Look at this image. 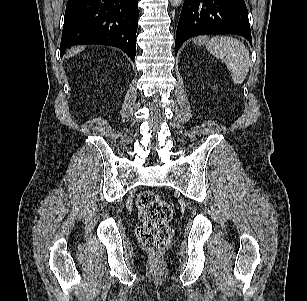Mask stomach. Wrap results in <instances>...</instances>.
<instances>
[{
    "label": "stomach",
    "mask_w": 307,
    "mask_h": 301,
    "mask_svg": "<svg viewBox=\"0 0 307 301\" xmlns=\"http://www.w3.org/2000/svg\"><path fill=\"white\" fill-rule=\"evenodd\" d=\"M198 43H199V44L205 43V39H202V38L198 39Z\"/></svg>",
    "instance_id": "0dacf381"
}]
</instances>
